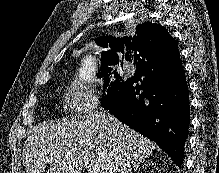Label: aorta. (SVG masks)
I'll return each instance as SVG.
<instances>
[{
  "label": "aorta",
  "mask_w": 219,
  "mask_h": 173,
  "mask_svg": "<svg viewBox=\"0 0 219 173\" xmlns=\"http://www.w3.org/2000/svg\"><path fill=\"white\" fill-rule=\"evenodd\" d=\"M95 63H94V59L91 57L86 58V60H84V64H83V68L81 70V77L84 80H90L92 77V74L94 72V67Z\"/></svg>",
  "instance_id": "aorta-1"
}]
</instances>
